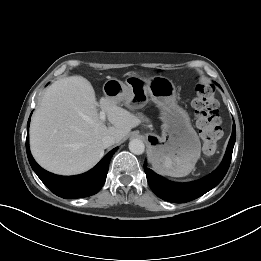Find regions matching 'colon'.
<instances>
[{
  "instance_id": "colon-1",
  "label": "colon",
  "mask_w": 261,
  "mask_h": 261,
  "mask_svg": "<svg viewBox=\"0 0 261 261\" xmlns=\"http://www.w3.org/2000/svg\"><path fill=\"white\" fill-rule=\"evenodd\" d=\"M192 106L196 123L203 140V152L212 155L217 148V141L222 135L218 102L210 85L198 83L194 90Z\"/></svg>"
}]
</instances>
